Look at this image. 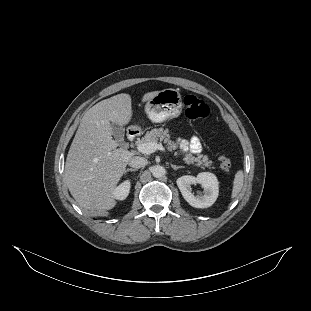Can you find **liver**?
I'll list each match as a JSON object with an SVG mask.
<instances>
[{
  "label": "liver",
  "instance_id": "liver-1",
  "mask_svg": "<svg viewBox=\"0 0 311 311\" xmlns=\"http://www.w3.org/2000/svg\"><path fill=\"white\" fill-rule=\"evenodd\" d=\"M158 93H145L142 102ZM132 115L131 96L120 93L98 102L83 116L67 155L64 175L69 191L82 208L94 212L115 206L112 191L135 153L117 148L112 124L123 127Z\"/></svg>",
  "mask_w": 311,
  "mask_h": 311
}]
</instances>
